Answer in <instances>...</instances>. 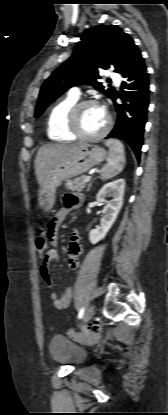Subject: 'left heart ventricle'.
<instances>
[{"label":"left heart ventricle","instance_id":"b2bd125f","mask_svg":"<svg viewBox=\"0 0 168 415\" xmlns=\"http://www.w3.org/2000/svg\"><path fill=\"white\" fill-rule=\"evenodd\" d=\"M107 115L98 104L85 106L80 112V127L86 134H95L103 129Z\"/></svg>","mask_w":168,"mask_h":415}]
</instances>
